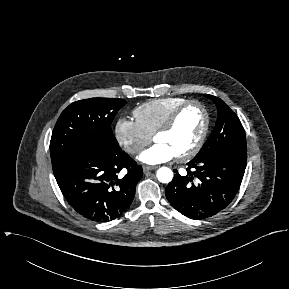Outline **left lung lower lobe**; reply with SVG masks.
I'll return each mask as SVG.
<instances>
[{"mask_svg":"<svg viewBox=\"0 0 289 289\" xmlns=\"http://www.w3.org/2000/svg\"><path fill=\"white\" fill-rule=\"evenodd\" d=\"M246 150L232 149L187 163L188 175L177 170L166 187L170 204L191 219H204L223 210L235 197L246 168ZM193 168L194 172L190 169Z\"/></svg>","mask_w":289,"mask_h":289,"instance_id":"left-lung-lower-lobe-1","label":"left lung lower lobe"}]
</instances>
